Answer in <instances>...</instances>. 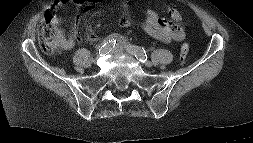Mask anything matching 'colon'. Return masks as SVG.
Instances as JSON below:
<instances>
[{
  "instance_id": "1",
  "label": "colon",
  "mask_w": 253,
  "mask_h": 143,
  "mask_svg": "<svg viewBox=\"0 0 253 143\" xmlns=\"http://www.w3.org/2000/svg\"><path fill=\"white\" fill-rule=\"evenodd\" d=\"M38 40L40 47L44 52L53 53L63 48L64 34L62 29L53 23L52 15L47 13L44 21L38 29ZM190 50L189 43H183L180 48V60L184 62Z\"/></svg>"
}]
</instances>
